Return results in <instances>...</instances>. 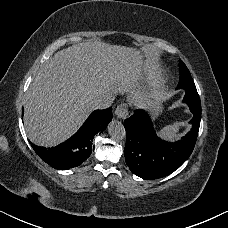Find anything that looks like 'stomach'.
I'll use <instances>...</instances> for the list:
<instances>
[{"label":"stomach","mask_w":228,"mask_h":228,"mask_svg":"<svg viewBox=\"0 0 228 228\" xmlns=\"http://www.w3.org/2000/svg\"><path fill=\"white\" fill-rule=\"evenodd\" d=\"M135 105L138 108H154V110H155L154 115L155 116H158L163 110V106L160 103V101L157 103H154V104H150V105L148 103H145V102H142V103H136L135 102Z\"/></svg>","instance_id":"1"}]
</instances>
